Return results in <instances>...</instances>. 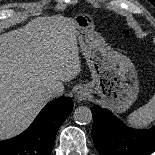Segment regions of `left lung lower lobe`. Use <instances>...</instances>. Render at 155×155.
Here are the masks:
<instances>
[{
    "mask_svg": "<svg viewBox=\"0 0 155 155\" xmlns=\"http://www.w3.org/2000/svg\"><path fill=\"white\" fill-rule=\"evenodd\" d=\"M91 135L101 155H148L155 150V126L146 129L127 127L109 110L97 105L91 109Z\"/></svg>",
    "mask_w": 155,
    "mask_h": 155,
    "instance_id": "0a47b994",
    "label": "left lung lower lobe"
}]
</instances>
